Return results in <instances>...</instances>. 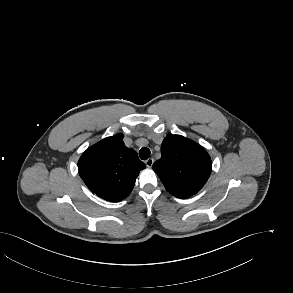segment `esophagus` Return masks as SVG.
I'll list each match as a JSON object with an SVG mask.
<instances>
[{"label":"esophagus","instance_id":"obj_1","mask_svg":"<svg viewBox=\"0 0 293 293\" xmlns=\"http://www.w3.org/2000/svg\"><path fill=\"white\" fill-rule=\"evenodd\" d=\"M154 163V159L153 158H148L146 161H145V164L148 168H151L152 165Z\"/></svg>","mask_w":293,"mask_h":293}]
</instances>
